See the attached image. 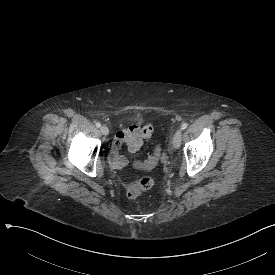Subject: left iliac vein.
I'll list each match as a JSON object with an SVG mask.
<instances>
[{
    "label": "left iliac vein",
    "mask_w": 275,
    "mask_h": 275,
    "mask_svg": "<svg viewBox=\"0 0 275 275\" xmlns=\"http://www.w3.org/2000/svg\"><path fill=\"white\" fill-rule=\"evenodd\" d=\"M182 133H183V131L181 129H178L176 131V133L174 134V136H173L172 143H173V147L175 149H178L179 146H180V141H181Z\"/></svg>",
    "instance_id": "1"
}]
</instances>
